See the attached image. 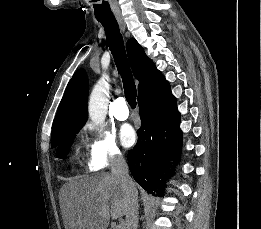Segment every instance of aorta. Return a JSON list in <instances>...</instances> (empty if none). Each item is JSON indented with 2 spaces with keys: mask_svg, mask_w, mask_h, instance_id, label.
Returning a JSON list of instances; mask_svg holds the SVG:
<instances>
[{
  "mask_svg": "<svg viewBox=\"0 0 261 229\" xmlns=\"http://www.w3.org/2000/svg\"><path fill=\"white\" fill-rule=\"evenodd\" d=\"M106 74L99 78L95 84L88 102L89 117L94 125H101L104 123L108 110V92L110 84H108Z\"/></svg>",
  "mask_w": 261,
  "mask_h": 229,
  "instance_id": "obj_1",
  "label": "aorta"
}]
</instances>
